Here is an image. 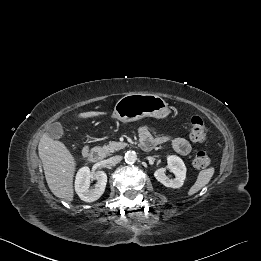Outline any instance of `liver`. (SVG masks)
<instances>
[{"mask_svg":"<svg viewBox=\"0 0 261 261\" xmlns=\"http://www.w3.org/2000/svg\"><path fill=\"white\" fill-rule=\"evenodd\" d=\"M103 112H83L78 118L86 119L104 115ZM45 178L51 192L58 198L71 202L74 197L73 178L76 161L64 143L44 134L38 145Z\"/></svg>","mask_w":261,"mask_h":261,"instance_id":"6515ba94","label":"liver"}]
</instances>
